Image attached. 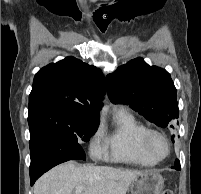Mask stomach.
I'll use <instances>...</instances> for the list:
<instances>
[{"label": "stomach", "instance_id": "stomach-1", "mask_svg": "<svg viewBox=\"0 0 201 194\" xmlns=\"http://www.w3.org/2000/svg\"><path fill=\"white\" fill-rule=\"evenodd\" d=\"M163 186L164 179L160 174L146 171L131 182L130 189L131 194H160Z\"/></svg>", "mask_w": 201, "mask_h": 194}]
</instances>
